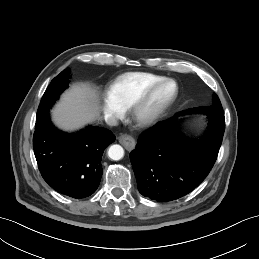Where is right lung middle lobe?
I'll use <instances>...</instances> for the list:
<instances>
[{
	"instance_id": "1",
	"label": "right lung middle lobe",
	"mask_w": 259,
	"mask_h": 259,
	"mask_svg": "<svg viewBox=\"0 0 259 259\" xmlns=\"http://www.w3.org/2000/svg\"><path fill=\"white\" fill-rule=\"evenodd\" d=\"M69 74L68 70H64L52 80L39 104L35 125H38L48 115L50 108L59 98V95L68 87Z\"/></svg>"
}]
</instances>
